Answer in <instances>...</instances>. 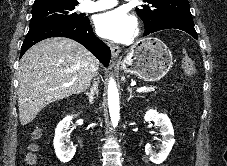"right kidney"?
Instances as JSON below:
<instances>
[{
    "mask_svg": "<svg viewBox=\"0 0 227 166\" xmlns=\"http://www.w3.org/2000/svg\"><path fill=\"white\" fill-rule=\"evenodd\" d=\"M73 116H67L56 127L54 137V149L58 159L63 162H69L75 155L76 148L70 142V122Z\"/></svg>",
    "mask_w": 227,
    "mask_h": 166,
    "instance_id": "right-kidney-1",
    "label": "right kidney"
}]
</instances>
